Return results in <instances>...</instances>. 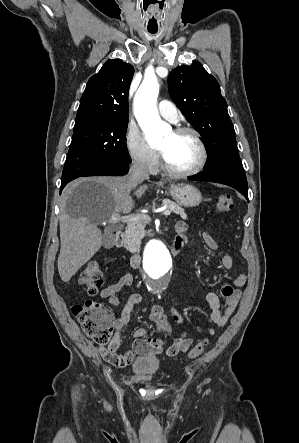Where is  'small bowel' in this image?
<instances>
[{
	"label": "small bowel",
	"instance_id": "1",
	"mask_svg": "<svg viewBox=\"0 0 299 443\" xmlns=\"http://www.w3.org/2000/svg\"><path fill=\"white\" fill-rule=\"evenodd\" d=\"M176 241L186 243L187 225L183 221H179L175 225ZM203 240L206 246L210 250H216L218 245L214 237L209 232L202 234ZM222 266L230 270L233 267V259L230 255L225 254L221 260ZM134 276L131 273H126L120 277V279L108 286H106L101 292L100 297L107 299L112 306L122 305V300L118 293L132 284ZM247 281V275L241 273L238 275L232 284H225L221 288V297L224 300V305L221 308V302L217 294L210 292L206 296V300L211 308L210 319L211 323L215 326L222 327L226 325L230 316L235 311L239 300L241 298V288ZM142 295L140 293H132L126 303L123 305V309L117 319L116 330L113 339L105 350V358L113 365L123 367L133 362L137 354H147L150 352H158L164 349L168 356H175L180 352H186L193 344V339L190 338L186 332H182L178 337L173 338L171 336V329L168 323V318L164 313V309L161 305L152 306L149 314L150 321L154 325L153 331L146 328H138L134 332L133 349L118 353V348L121 342L122 333L125 327L128 325L131 319V313L134 307L142 302ZM171 314L174 320L180 324H183L184 319L182 314L177 309H172ZM152 333L163 335L165 338H156L152 336ZM209 335H214L215 330L213 327L207 328ZM170 340V344H168Z\"/></svg>",
	"mask_w": 299,
	"mask_h": 443
}]
</instances>
